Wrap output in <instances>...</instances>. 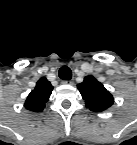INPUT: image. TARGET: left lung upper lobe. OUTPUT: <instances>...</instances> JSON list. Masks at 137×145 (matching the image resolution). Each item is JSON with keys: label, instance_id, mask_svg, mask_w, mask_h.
<instances>
[{"label": "left lung upper lobe", "instance_id": "5c2ea615", "mask_svg": "<svg viewBox=\"0 0 137 145\" xmlns=\"http://www.w3.org/2000/svg\"><path fill=\"white\" fill-rule=\"evenodd\" d=\"M77 88L91 111L102 112L114 102L112 94L93 76H86Z\"/></svg>", "mask_w": 137, "mask_h": 145}]
</instances>
